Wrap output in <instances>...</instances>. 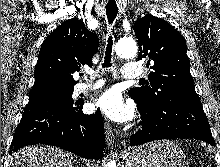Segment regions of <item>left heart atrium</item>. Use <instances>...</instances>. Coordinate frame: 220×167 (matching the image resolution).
<instances>
[{
	"label": "left heart atrium",
	"instance_id": "39dd6f15",
	"mask_svg": "<svg viewBox=\"0 0 220 167\" xmlns=\"http://www.w3.org/2000/svg\"><path fill=\"white\" fill-rule=\"evenodd\" d=\"M95 108L100 110L107 118L123 122L128 120L133 113L131 105L125 104L120 94L110 91L99 97Z\"/></svg>",
	"mask_w": 220,
	"mask_h": 167
}]
</instances>
